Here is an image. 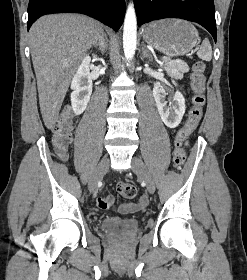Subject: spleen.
Wrapping results in <instances>:
<instances>
[{
  "label": "spleen",
  "instance_id": "spleen-1",
  "mask_svg": "<svg viewBox=\"0 0 247 280\" xmlns=\"http://www.w3.org/2000/svg\"><path fill=\"white\" fill-rule=\"evenodd\" d=\"M197 55L204 61H211L212 59V47L208 39H204L200 49L197 51Z\"/></svg>",
  "mask_w": 247,
  "mask_h": 280
}]
</instances>
